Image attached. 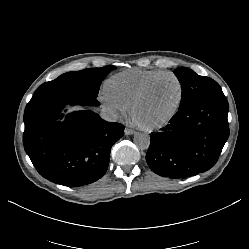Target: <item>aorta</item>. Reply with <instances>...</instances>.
<instances>
[{"instance_id":"762f6f07","label":"aorta","mask_w":249,"mask_h":249,"mask_svg":"<svg viewBox=\"0 0 249 249\" xmlns=\"http://www.w3.org/2000/svg\"><path fill=\"white\" fill-rule=\"evenodd\" d=\"M133 142L137 148L146 150L150 145V137L145 133H136L134 135Z\"/></svg>"}]
</instances>
